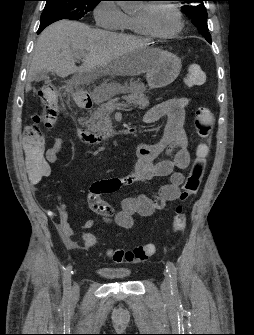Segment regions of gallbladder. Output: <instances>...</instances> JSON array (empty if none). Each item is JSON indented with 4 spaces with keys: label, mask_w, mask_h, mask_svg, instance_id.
I'll return each instance as SVG.
<instances>
[{
    "label": "gallbladder",
    "mask_w": 254,
    "mask_h": 335,
    "mask_svg": "<svg viewBox=\"0 0 254 335\" xmlns=\"http://www.w3.org/2000/svg\"><path fill=\"white\" fill-rule=\"evenodd\" d=\"M47 73V72H46ZM44 72H40L38 73V75H36L33 79H35L36 81H40L43 79H48L49 77L47 76V74Z\"/></svg>",
    "instance_id": "gallbladder-1"
}]
</instances>
